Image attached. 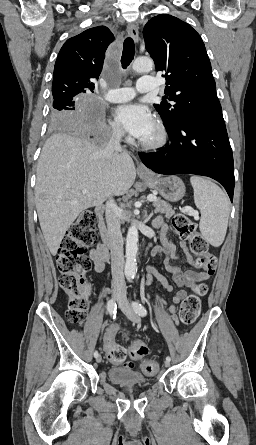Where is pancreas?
I'll list each match as a JSON object with an SVG mask.
<instances>
[{
    "instance_id": "obj_1",
    "label": "pancreas",
    "mask_w": 256,
    "mask_h": 445,
    "mask_svg": "<svg viewBox=\"0 0 256 445\" xmlns=\"http://www.w3.org/2000/svg\"><path fill=\"white\" fill-rule=\"evenodd\" d=\"M153 206L155 207L156 212L165 214L166 218H170L175 213L172 206L160 198H156V201L153 202Z\"/></svg>"
}]
</instances>
